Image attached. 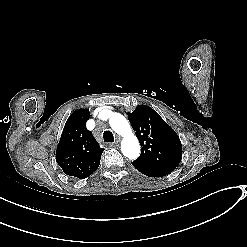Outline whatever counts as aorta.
<instances>
[{
  "label": "aorta",
  "instance_id": "1",
  "mask_svg": "<svg viewBox=\"0 0 247 247\" xmlns=\"http://www.w3.org/2000/svg\"><path fill=\"white\" fill-rule=\"evenodd\" d=\"M109 123L111 128L123 137L121 143L123 155L129 159H136L140 155V144L127 119L119 113H112Z\"/></svg>",
  "mask_w": 247,
  "mask_h": 247
}]
</instances>
